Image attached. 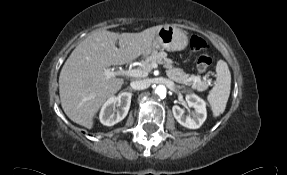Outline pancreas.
Here are the masks:
<instances>
[{
  "label": "pancreas",
  "mask_w": 287,
  "mask_h": 175,
  "mask_svg": "<svg viewBox=\"0 0 287 175\" xmlns=\"http://www.w3.org/2000/svg\"><path fill=\"white\" fill-rule=\"evenodd\" d=\"M153 63L162 64L167 69L166 75L177 83L190 85L192 88L200 92L208 88V83L206 81H202L199 76H190L182 69L174 67L173 61L167 58V53L164 51L153 50L142 62L144 68L140 69L150 72L151 65Z\"/></svg>",
  "instance_id": "pancreas-1"
}]
</instances>
